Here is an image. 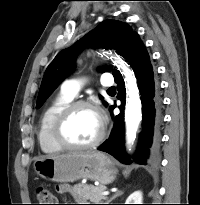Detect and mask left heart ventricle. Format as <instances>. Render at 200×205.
<instances>
[{
  "instance_id": "b2bd125f",
  "label": "left heart ventricle",
  "mask_w": 200,
  "mask_h": 205,
  "mask_svg": "<svg viewBox=\"0 0 200 205\" xmlns=\"http://www.w3.org/2000/svg\"><path fill=\"white\" fill-rule=\"evenodd\" d=\"M98 114L88 108L76 110L64 128L66 139L74 144H86L94 140L100 131Z\"/></svg>"
}]
</instances>
